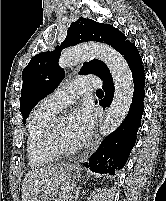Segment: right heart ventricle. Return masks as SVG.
Instances as JSON below:
<instances>
[{"instance_id":"obj_1","label":"right heart ventricle","mask_w":166,"mask_h":201,"mask_svg":"<svg viewBox=\"0 0 166 201\" xmlns=\"http://www.w3.org/2000/svg\"><path fill=\"white\" fill-rule=\"evenodd\" d=\"M55 114L54 110L40 105L29 117L26 145L31 167L48 164L57 158L46 143L47 128Z\"/></svg>"}]
</instances>
